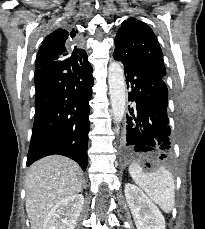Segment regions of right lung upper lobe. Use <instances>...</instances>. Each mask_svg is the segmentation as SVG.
Segmentation results:
<instances>
[{"mask_svg":"<svg viewBox=\"0 0 205 229\" xmlns=\"http://www.w3.org/2000/svg\"><path fill=\"white\" fill-rule=\"evenodd\" d=\"M77 30L58 29L49 34L38 51L35 68L61 61L73 70H78L90 65L85 50L78 48ZM75 45V46H74ZM83 60V61H82Z\"/></svg>","mask_w":205,"mask_h":229,"instance_id":"obj_1","label":"right lung upper lobe"}]
</instances>
